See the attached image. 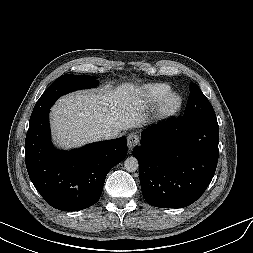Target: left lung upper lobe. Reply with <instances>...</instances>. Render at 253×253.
Here are the masks:
<instances>
[{"label": "left lung upper lobe", "instance_id": "5c2ea615", "mask_svg": "<svg viewBox=\"0 0 253 253\" xmlns=\"http://www.w3.org/2000/svg\"><path fill=\"white\" fill-rule=\"evenodd\" d=\"M205 117H216L214 109L201 89L195 83H191L190 95L182 120L188 122Z\"/></svg>", "mask_w": 253, "mask_h": 253}]
</instances>
